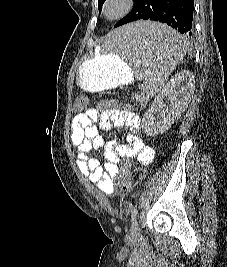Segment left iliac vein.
<instances>
[{
  "label": "left iliac vein",
  "mask_w": 227,
  "mask_h": 267,
  "mask_svg": "<svg viewBox=\"0 0 227 267\" xmlns=\"http://www.w3.org/2000/svg\"><path fill=\"white\" fill-rule=\"evenodd\" d=\"M131 236L138 237L139 236V225L138 221L135 219L131 226Z\"/></svg>",
  "instance_id": "left-iliac-vein-1"
}]
</instances>
